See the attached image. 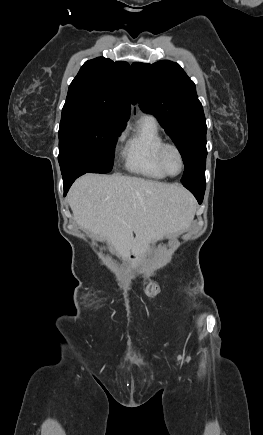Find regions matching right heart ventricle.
Masks as SVG:
<instances>
[{
    "label": "right heart ventricle",
    "mask_w": 263,
    "mask_h": 435,
    "mask_svg": "<svg viewBox=\"0 0 263 435\" xmlns=\"http://www.w3.org/2000/svg\"><path fill=\"white\" fill-rule=\"evenodd\" d=\"M162 143L164 138L156 120L148 116L142 117L123 147L126 169L149 179L166 178L157 163V152Z\"/></svg>",
    "instance_id": "1"
}]
</instances>
